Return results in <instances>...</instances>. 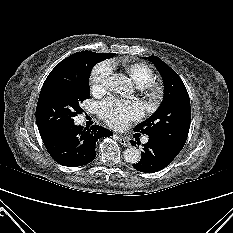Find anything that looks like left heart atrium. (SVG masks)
<instances>
[{"instance_id": "left-heart-atrium-1", "label": "left heart atrium", "mask_w": 233, "mask_h": 233, "mask_svg": "<svg viewBox=\"0 0 233 233\" xmlns=\"http://www.w3.org/2000/svg\"><path fill=\"white\" fill-rule=\"evenodd\" d=\"M101 118L114 128H123L130 121L139 119L143 108L137 101L110 98L99 105Z\"/></svg>"}]
</instances>
